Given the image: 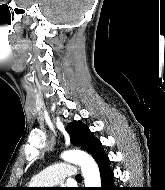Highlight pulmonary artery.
<instances>
[{
	"instance_id": "obj_1",
	"label": "pulmonary artery",
	"mask_w": 165,
	"mask_h": 190,
	"mask_svg": "<svg viewBox=\"0 0 165 190\" xmlns=\"http://www.w3.org/2000/svg\"><path fill=\"white\" fill-rule=\"evenodd\" d=\"M78 174L77 167L71 163L59 162L39 172L32 179L35 185L51 186L66 178H75Z\"/></svg>"
}]
</instances>
